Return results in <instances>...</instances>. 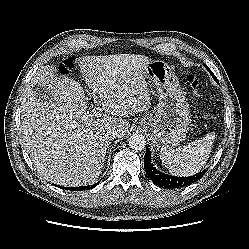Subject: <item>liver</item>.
I'll list each match as a JSON object with an SVG mask.
<instances>
[{"mask_svg": "<svg viewBox=\"0 0 249 249\" xmlns=\"http://www.w3.org/2000/svg\"><path fill=\"white\" fill-rule=\"evenodd\" d=\"M145 55L85 56L78 65L82 77L102 109L111 116L86 112L87 98L80 83L61 77L56 65L43 66L31 79L21 102V132L25 149L41 176L63 186L94 182L104 166L116 129L123 137L128 117L150 107ZM40 85L51 100L40 99L33 87Z\"/></svg>", "mask_w": 249, "mask_h": 249, "instance_id": "liver-1", "label": "liver"}]
</instances>
